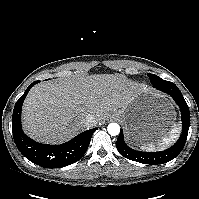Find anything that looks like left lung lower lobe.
Wrapping results in <instances>:
<instances>
[{"mask_svg": "<svg viewBox=\"0 0 199 199\" xmlns=\"http://www.w3.org/2000/svg\"><path fill=\"white\" fill-rule=\"evenodd\" d=\"M157 89L172 96L178 104L182 115L183 130L179 140L171 148L160 152H140L129 148L124 142L123 132L121 130L116 142L119 153L125 158L144 164H163L174 159L185 145L190 126L189 108L177 86L175 84H170L159 86Z\"/></svg>", "mask_w": 199, "mask_h": 199, "instance_id": "1", "label": "left lung lower lobe"}]
</instances>
